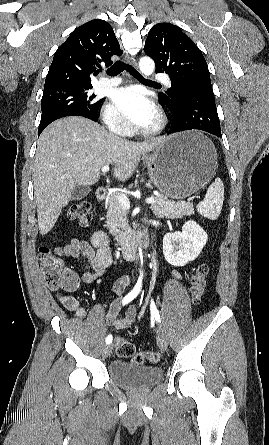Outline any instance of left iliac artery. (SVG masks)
<instances>
[{
  "mask_svg": "<svg viewBox=\"0 0 269 445\" xmlns=\"http://www.w3.org/2000/svg\"><path fill=\"white\" fill-rule=\"evenodd\" d=\"M150 311H151V315L156 319L157 322H160V315L159 312L157 310L156 304L154 302L153 299H151V303H150Z\"/></svg>",
  "mask_w": 269,
  "mask_h": 445,
  "instance_id": "1",
  "label": "left iliac artery"
}]
</instances>
